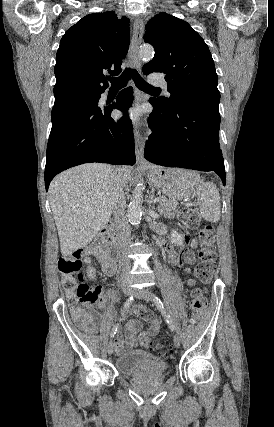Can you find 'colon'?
Wrapping results in <instances>:
<instances>
[{"label": "colon", "instance_id": "1", "mask_svg": "<svg viewBox=\"0 0 274 427\" xmlns=\"http://www.w3.org/2000/svg\"><path fill=\"white\" fill-rule=\"evenodd\" d=\"M178 217L187 228L191 229L196 228L200 222L199 214L192 208L186 206L180 208ZM197 239L199 248H216L213 225H205L198 232ZM58 270L63 276V287L66 290L70 302H79L81 304L95 303L103 295L101 286L90 285L84 279L81 250H75L70 254L62 256L58 262ZM190 281H194L193 275H191ZM204 301L205 294L202 293L200 287L195 286L194 290H190L188 308L191 313L197 314L198 318L206 317V310L201 303ZM139 341L144 349L155 351L161 356H167L170 353L169 350H166L164 345L146 336L141 337Z\"/></svg>", "mask_w": 274, "mask_h": 427}]
</instances>
